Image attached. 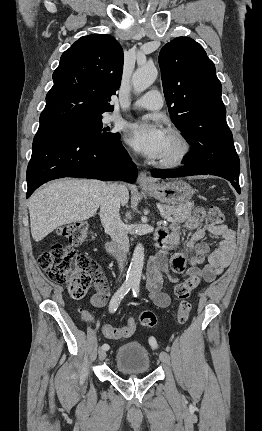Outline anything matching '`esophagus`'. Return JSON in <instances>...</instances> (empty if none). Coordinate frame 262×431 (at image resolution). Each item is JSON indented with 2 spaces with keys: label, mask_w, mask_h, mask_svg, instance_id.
I'll list each match as a JSON object with an SVG mask.
<instances>
[{
  "label": "esophagus",
  "mask_w": 262,
  "mask_h": 431,
  "mask_svg": "<svg viewBox=\"0 0 262 431\" xmlns=\"http://www.w3.org/2000/svg\"><path fill=\"white\" fill-rule=\"evenodd\" d=\"M137 182L139 186H150L153 184V182L145 172H140Z\"/></svg>",
  "instance_id": "esophagus-1"
}]
</instances>
